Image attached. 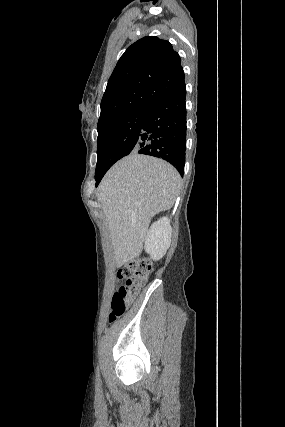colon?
<instances>
[{"instance_id": "5ec220e1", "label": "colon", "mask_w": 285, "mask_h": 427, "mask_svg": "<svg viewBox=\"0 0 285 427\" xmlns=\"http://www.w3.org/2000/svg\"><path fill=\"white\" fill-rule=\"evenodd\" d=\"M151 269L152 264L146 258L132 259L120 267L117 272L119 286L110 299L109 322L124 314L146 283Z\"/></svg>"}]
</instances>
